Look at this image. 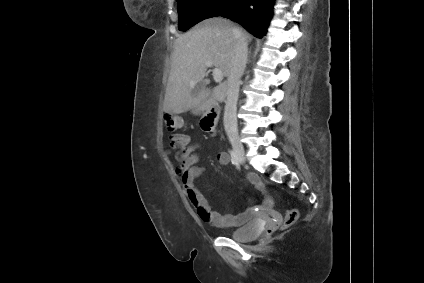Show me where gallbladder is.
Returning <instances> with one entry per match:
<instances>
[{"mask_svg": "<svg viewBox=\"0 0 424 283\" xmlns=\"http://www.w3.org/2000/svg\"><path fill=\"white\" fill-rule=\"evenodd\" d=\"M204 82H199L196 87L191 91V95L196 97L203 89Z\"/></svg>", "mask_w": 424, "mask_h": 283, "instance_id": "bac80fb5", "label": "gallbladder"}]
</instances>
